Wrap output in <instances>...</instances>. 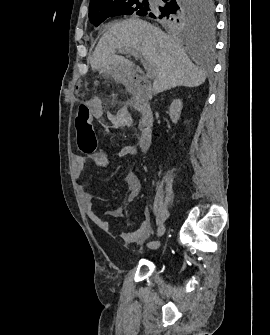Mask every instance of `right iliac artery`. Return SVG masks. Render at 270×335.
Here are the masks:
<instances>
[{
    "instance_id": "right-iliac-artery-1",
    "label": "right iliac artery",
    "mask_w": 270,
    "mask_h": 335,
    "mask_svg": "<svg viewBox=\"0 0 270 335\" xmlns=\"http://www.w3.org/2000/svg\"><path fill=\"white\" fill-rule=\"evenodd\" d=\"M150 249H157L160 246L159 241H151L147 244Z\"/></svg>"
}]
</instances>
